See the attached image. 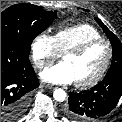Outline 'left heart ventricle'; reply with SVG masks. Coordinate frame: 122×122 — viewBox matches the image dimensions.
I'll return each instance as SVG.
<instances>
[{"instance_id":"left-heart-ventricle-1","label":"left heart ventricle","mask_w":122,"mask_h":122,"mask_svg":"<svg viewBox=\"0 0 122 122\" xmlns=\"http://www.w3.org/2000/svg\"><path fill=\"white\" fill-rule=\"evenodd\" d=\"M107 56V47L100 43L79 56L67 55L63 62L71 68L75 82H84L94 77L101 69Z\"/></svg>"}]
</instances>
